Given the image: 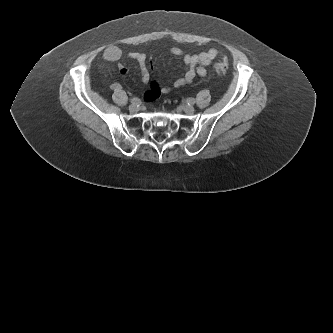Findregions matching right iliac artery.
Returning a JSON list of instances; mask_svg holds the SVG:
<instances>
[{
  "mask_svg": "<svg viewBox=\"0 0 333 333\" xmlns=\"http://www.w3.org/2000/svg\"><path fill=\"white\" fill-rule=\"evenodd\" d=\"M131 102H132V103L139 104V103H140V100H139L138 98H135V97H134V98L131 99Z\"/></svg>",
  "mask_w": 333,
  "mask_h": 333,
  "instance_id": "right-iliac-artery-1",
  "label": "right iliac artery"
}]
</instances>
